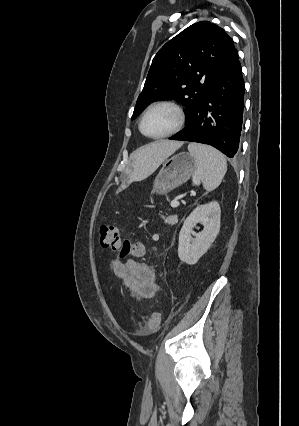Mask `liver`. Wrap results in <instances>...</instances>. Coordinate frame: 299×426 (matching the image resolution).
Instances as JSON below:
<instances>
[{"mask_svg":"<svg viewBox=\"0 0 299 426\" xmlns=\"http://www.w3.org/2000/svg\"><path fill=\"white\" fill-rule=\"evenodd\" d=\"M182 145L181 141L160 140L140 147L131 155V175L134 178L150 175Z\"/></svg>","mask_w":299,"mask_h":426,"instance_id":"6515ba94","label":"liver"}]
</instances>
